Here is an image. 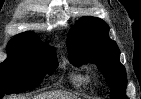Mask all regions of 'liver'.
<instances>
[{"instance_id": "1", "label": "liver", "mask_w": 141, "mask_h": 99, "mask_svg": "<svg viewBox=\"0 0 141 99\" xmlns=\"http://www.w3.org/2000/svg\"><path fill=\"white\" fill-rule=\"evenodd\" d=\"M34 99H78L77 96L67 92L51 91L39 94Z\"/></svg>"}]
</instances>
